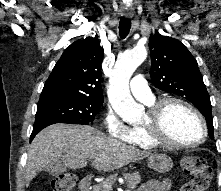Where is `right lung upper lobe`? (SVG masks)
Masks as SVG:
<instances>
[{
    "label": "right lung upper lobe",
    "mask_w": 221,
    "mask_h": 191,
    "mask_svg": "<svg viewBox=\"0 0 221 191\" xmlns=\"http://www.w3.org/2000/svg\"><path fill=\"white\" fill-rule=\"evenodd\" d=\"M103 57L104 51L97 38L87 37L72 43L46 80L38 103L65 99L103 100Z\"/></svg>",
    "instance_id": "obj_1"
}]
</instances>
